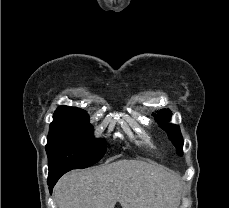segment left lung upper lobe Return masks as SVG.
I'll return each instance as SVG.
<instances>
[{
  "label": "left lung upper lobe",
  "mask_w": 229,
  "mask_h": 208,
  "mask_svg": "<svg viewBox=\"0 0 229 208\" xmlns=\"http://www.w3.org/2000/svg\"><path fill=\"white\" fill-rule=\"evenodd\" d=\"M172 113L168 109H162L155 114V120L161 124V128L167 132L169 139L177 149V153L182 155L183 137L178 125L167 124Z\"/></svg>",
  "instance_id": "5c2ea615"
}]
</instances>
